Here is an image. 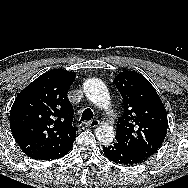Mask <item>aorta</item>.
Masks as SVG:
<instances>
[{
    "label": "aorta",
    "mask_w": 188,
    "mask_h": 188,
    "mask_svg": "<svg viewBox=\"0 0 188 188\" xmlns=\"http://www.w3.org/2000/svg\"><path fill=\"white\" fill-rule=\"evenodd\" d=\"M86 97L96 105L106 108L109 105V93L106 85L97 78H89L83 85ZM96 137L102 145L113 142L115 131L112 126L101 125L96 129Z\"/></svg>",
    "instance_id": "aorta-1"
}]
</instances>
